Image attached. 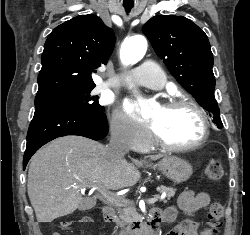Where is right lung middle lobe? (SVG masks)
Wrapping results in <instances>:
<instances>
[{
  "instance_id": "dd1d6c3e",
  "label": "right lung middle lobe",
  "mask_w": 250,
  "mask_h": 235,
  "mask_svg": "<svg viewBox=\"0 0 250 235\" xmlns=\"http://www.w3.org/2000/svg\"><path fill=\"white\" fill-rule=\"evenodd\" d=\"M94 86L66 91L35 98V106L40 104L81 108L91 113L104 112L98 103V97L91 94Z\"/></svg>"
}]
</instances>
